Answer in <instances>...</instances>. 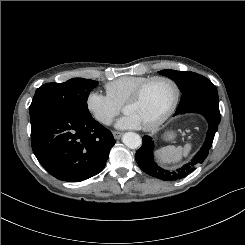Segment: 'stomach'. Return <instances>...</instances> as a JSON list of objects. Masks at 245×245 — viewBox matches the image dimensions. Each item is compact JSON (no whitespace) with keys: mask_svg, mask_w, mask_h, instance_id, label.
Returning <instances> with one entry per match:
<instances>
[{"mask_svg":"<svg viewBox=\"0 0 245 245\" xmlns=\"http://www.w3.org/2000/svg\"><path fill=\"white\" fill-rule=\"evenodd\" d=\"M176 134L173 131H168L164 133L163 138L166 141H173L175 139Z\"/></svg>","mask_w":245,"mask_h":245,"instance_id":"1","label":"stomach"}]
</instances>
